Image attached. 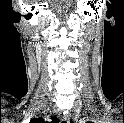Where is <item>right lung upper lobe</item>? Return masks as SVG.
I'll return each instance as SVG.
<instances>
[{"label":"right lung upper lobe","mask_w":124,"mask_h":123,"mask_svg":"<svg viewBox=\"0 0 124 123\" xmlns=\"http://www.w3.org/2000/svg\"><path fill=\"white\" fill-rule=\"evenodd\" d=\"M59 120L56 117L52 118V123L58 122ZM30 123H45L43 118H35L30 121Z\"/></svg>","instance_id":"obj_1"}]
</instances>
